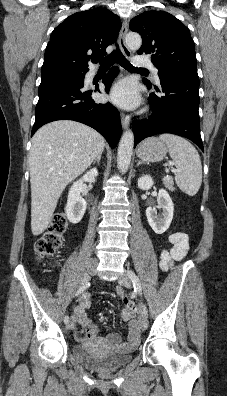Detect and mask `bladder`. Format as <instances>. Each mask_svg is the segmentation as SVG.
<instances>
[{
	"instance_id": "obj_1",
	"label": "bladder",
	"mask_w": 227,
	"mask_h": 396,
	"mask_svg": "<svg viewBox=\"0 0 227 396\" xmlns=\"http://www.w3.org/2000/svg\"><path fill=\"white\" fill-rule=\"evenodd\" d=\"M72 354L79 363L98 372L119 369L132 358L131 352L103 354L94 350L90 345H76L72 348Z\"/></svg>"
}]
</instances>
